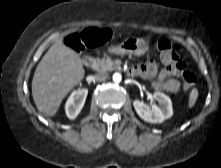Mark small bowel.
Returning a JSON list of instances; mask_svg holds the SVG:
<instances>
[{"instance_id": "small-bowel-1", "label": "small bowel", "mask_w": 221, "mask_h": 168, "mask_svg": "<svg viewBox=\"0 0 221 168\" xmlns=\"http://www.w3.org/2000/svg\"><path fill=\"white\" fill-rule=\"evenodd\" d=\"M161 59L166 65V68L160 72L156 62L151 59L141 65L133 67V69L136 74L152 80L154 89L176 92L180 87V82L187 79V68L174 51L167 55H161Z\"/></svg>"}]
</instances>
